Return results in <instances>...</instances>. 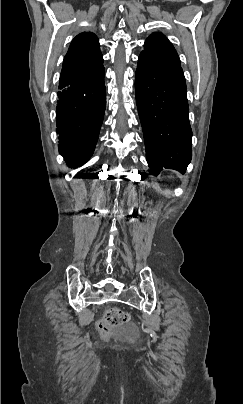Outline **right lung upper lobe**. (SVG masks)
I'll return each instance as SVG.
<instances>
[{
    "mask_svg": "<svg viewBox=\"0 0 243 404\" xmlns=\"http://www.w3.org/2000/svg\"><path fill=\"white\" fill-rule=\"evenodd\" d=\"M103 63L99 40L92 32L77 35L64 58L60 75L59 89L73 80L94 72Z\"/></svg>",
    "mask_w": 243,
    "mask_h": 404,
    "instance_id": "right-lung-upper-lobe-1",
    "label": "right lung upper lobe"
}]
</instances>
